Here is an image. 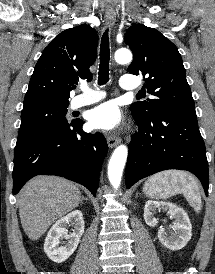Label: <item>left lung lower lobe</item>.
<instances>
[{
  "mask_svg": "<svg viewBox=\"0 0 215 274\" xmlns=\"http://www.w3.org/2000/svg\"><path fill=\"white\" fill-rule=\"evenodd\" d=\"M132 115L139 130L129 144L126 187L159 171L180 169L196 175L208 196V162L197 119L166 112Z\"/></svg>",
  "mask_w": 215,
  "mask_h": 274,
  "instance_id": "1",
  "label": "left lung lower lobe"
}]
</instances>
